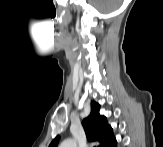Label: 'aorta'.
Instances as JSON below:
<instances>
[{
    "label": "aorta",
    "instance_id": "1",
    "mask_svg": "<svg viewBox=\"0 0 163 147\" xmlns=\"http://www.w3.org/2000/svg\"><path fill=\"white\" fill-rule=\"evenodd\" d=\"M61 147H76V142L72 139H67L61 144Z\"/></svg>",
    "mask_w": 163,
    "mask_h": 147
}]
</instances>
